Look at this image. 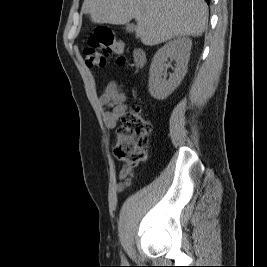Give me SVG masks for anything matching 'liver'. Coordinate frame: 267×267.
<instances>
[{
	"label": "liver",
	"instance_id": "liver-1",
	"mask_svg": "<svg viewBox=\"0 0 267 267\" xmlns=\"http://www.w3.org/2000/svg\"><path fill=\"white\" fill-rule=\"evenodd\" d=\"M82 13L95 24L121 25L135 19L136 38L147 46L201 36L208 20L204 0H84Z\"/></svg>",
	"mask_w": 267,
	"mask_h": 267
}]
</instances>
